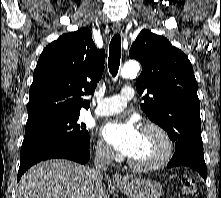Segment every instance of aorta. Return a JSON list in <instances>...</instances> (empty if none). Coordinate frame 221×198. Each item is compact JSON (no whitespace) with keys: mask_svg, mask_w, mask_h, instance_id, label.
I'll use <instances>...</instances> for the list:
<instances>
[{"mask_svg":"<svg viewBox=\"0 0 221 198\" xmlns=\"http://www.w3.org/2000/svg\"><path fill=\"white\" fill-rule=\"evenodd\" d=\"M139 71L140 64L136 61H129L121 68L120 74L123 78H130L136 76Z\"/></svg>","mask_w":221,"mask_h":198,"instance_id":"obj_1","label":"aorta"}]
</instances>
